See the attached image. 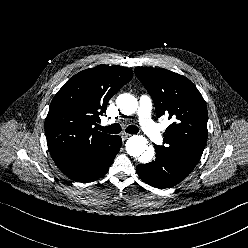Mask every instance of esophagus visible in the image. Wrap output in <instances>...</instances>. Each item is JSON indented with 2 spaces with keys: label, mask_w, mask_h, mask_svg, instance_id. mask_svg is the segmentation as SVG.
Segmentation results:
<instances>
[{
  "label": "esophagus",
  "mask_w": 248,
  "mask_h": 248,
  "mask_svg": "<svg viewBox=\"0 0 248 248\" xmlns=\"http://www.w3.org/2000/svg\"><path fill=\"white\" fill-rule=\"evenodd\" d=\"M121 137H122V139H127L128 137H130V134H128V133H122L121 134Z\"/></svg>",
  "instance_id": "1"
}]
</instances>
